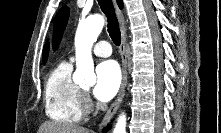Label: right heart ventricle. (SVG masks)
<instances>
[{
    "mask_svg": "<svg viewBox=\"0 0 221 133\" xmlns=\"http://www.w3.org/2000/svg\"><path fill=\"white\" fill-rule=\"evenodd\" d=\"M71 74V63L61 62L49 73L45 83L46 115L59 124H76L83 115L82 90Z\"/></svg>",
    "mask_w": 221,
    "mask_h": 133,
    "instance_id": "1",
    "label": "right heart ventricle"
}]
</instances>
